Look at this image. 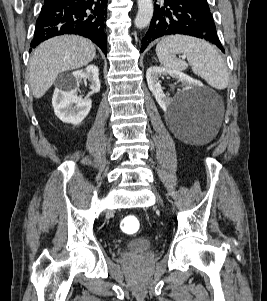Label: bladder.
Instances as JSON below:
<instances>
[{
    "instance_id": "obj_1",
    "label": "bladder",
    "mask_w": 267,
    "mask_h": 301,
    "mask_svg": "<svg viewBox=\"0 0 267 301\" xmlns=\"http://www.w3.org/2000/svg\"><path fill=\"white\" fill-rule=\"evenodd\" d=\"M153 241L146 236L134 238L127 247L132 250H147L153 247Z\"/></svg>"
}]
</instances>
